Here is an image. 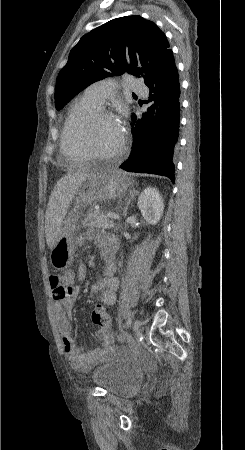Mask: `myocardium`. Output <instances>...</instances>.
Segmentation results:
<instances>
[{
    "label": "myocardium",
    "instance_id": "myocardium-1",
    "mask_svg": "<svg viewBox=\"0 0 245 450\" xmlns=\"http://www.w3.org/2000/svg\"><path fill=\"white\" fill-rule=\"evenodd\" d=\"M100 120L116 121V118L112 113L99 108L86 119V122L84 124L83 130L81 133V144H82L83 148L85 149V151L87 152L89 159L104 161V160L121 157L125 153V150H126V137H125L124 132H122L120 146L115 151H113L111 153L103 154V153L98 152L94 148V145L92 142V133H93V129H94L96 123Z\"/></svg>",
    "mask_w": 245,
    "mask_h": 450
}]
</instances>
